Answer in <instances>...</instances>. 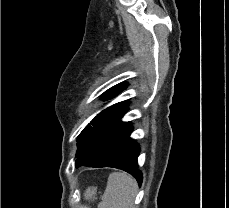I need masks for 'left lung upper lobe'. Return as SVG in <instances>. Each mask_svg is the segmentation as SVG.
<instances>
[{
  "label": "left lung upper lobe",
  "mask_w": 229,
  "mask_h": 208,
  "mask_svg": "<svg viewBox=\"0 0 229 208\" xmlns=\"http://www.w3.org/2000/svg\"><path fill=\"white\" fill-rule=\"evenodd\" d=\"M127 87L126 84H118L107 90L102 99L107 100L115 97ZM128 111V105L125 101L116 103L101 113H99L80 133L77 138L78 143L85 141L97 132L108 129H120L127 131L132 128L130 123L121 122L120 119Z\"/></svg>",
  "instance_id": "1"
}]
</instances>
